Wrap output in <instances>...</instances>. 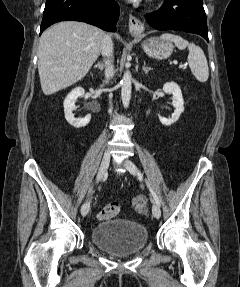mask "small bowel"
<instances>
[{
  "instance_id": "1",
  "label": "small bowel",
  "mask_w": 240,
  "mask_h": 287,
  "mask_svg": "<svg viewBox=\"0 0 240 287\" xmlns=\"http://www.w3.org/2000/svg\"><path fill=\"white\" fill-rule=\"evenodd\" d=\"M133 204L137 211L145 212L147 207V198L144 195H137L133 198Z\"/></svg>"
}]
</instances>
